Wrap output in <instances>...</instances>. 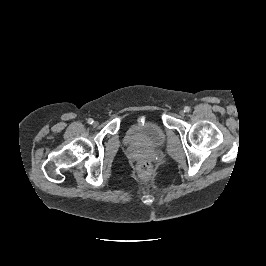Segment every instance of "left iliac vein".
Returning a JSON list of instances; mask_svg holds the SVG:
<instances>
[{
	"label": "left iliac vein",
	"mask_w": 266,
	"mask_h": 266,
	"mask_svg": "<svg viewBox=\"0 0 266 266\" xmlns=\"http://www.w3.org/2000/svg\"><path fill=\"white\" fill-rule=\"evenodd\" d=\"M179 115H180V116H184V115H185V111H184V110H181V111L179 112Z\"/></svg>",
	"instance_id": "4c4485c4"
}]
</instances>
